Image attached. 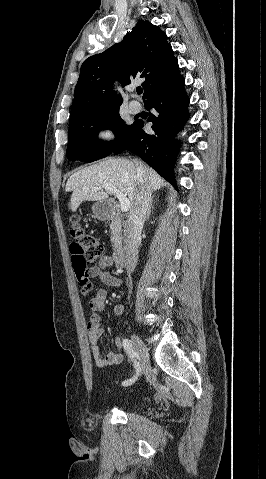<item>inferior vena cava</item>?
Instances as JSON below:
<instances>
[{
	"instance_id": "602c4592",
	"label": "inferior vena cava",
	"mask_w": 266,
	"mask_h": 479,
	"mask_svg": "<svg viewBox=\"0 0 266 479\" xmlns=\"http://www.w3.org/2000/svg\"><path fill=\"white\" fill-rule=\"evenodd\" d=\"M138 176V190L134 205L130 209L129 218L124 227L123 251L125 266L128 272H133L138 260V248L141 242V231L151 201V184L148 180L146 168L136 162Z\"/></svg>"
}]
</instances>
